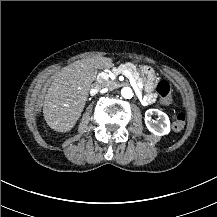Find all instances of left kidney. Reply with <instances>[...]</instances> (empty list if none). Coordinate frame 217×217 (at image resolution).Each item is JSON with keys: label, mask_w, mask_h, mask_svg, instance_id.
I'll return each instance as SVG.
<instances>
[{"label": "left kidney", "mask_w": 217, "mask_h": 217, "mask_svg": "<svg viewBox=\"0 0 217 217\" xmlns=\"http://www.w3.org/2000/svg\"><path fill=\"white\" fill-rule=\"evenodd\" d=\"M156 114L158 120H152L151 116ZM145 124L150 132L155 135L163 136L170 132V120L166 113L159 109H148L145 112Z\"/></svg>", "instance_id": "1"}]
</instances>
